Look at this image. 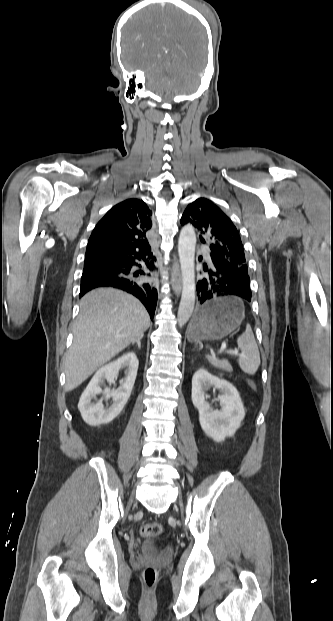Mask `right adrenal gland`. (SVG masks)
<instances>
[{
    "instance_id": "obj_1",
    "label": "right adrenal gland",
    "mask_w": 333,
    "mask_h": 621,
    "mask_svg": "<svg viewBox=\"0 0 333 621\" xmlns=\"http://www.w3.org/2000/svg\"><path fill=\"white\" fill-rule=\"evenodd\" d=\"M141 339H142V337L137 338L136 340H134V341L132 342V345H134L135 343H137L138 348H139V349H141Z\"/></svg>"
}]
</instances>
